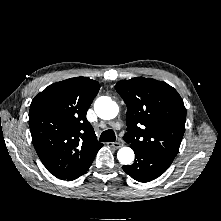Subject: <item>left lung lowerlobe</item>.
<instances>
[{
    "instance_id": "1",
    "label": "left lung lower lobe",
    "mask_w": 221,
    "mask_h": 221,
    "mask_svg": "<svg viewBox=\"0 0 221 221\" xmlns=\"http://www.w3.org/2000/svg\"><path fill=\"white\" fill-rule=\"evenodd\" d=\"M135 153L132 165L123 166V170L139 182H149L163 174L173 161V158L146 151L140 147L131 146Z\"/></svg>"
}]
</instances>
